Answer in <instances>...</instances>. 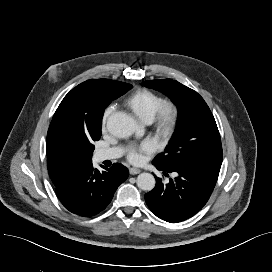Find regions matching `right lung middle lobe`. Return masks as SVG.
Instances as JSON below:
<instances>
[{
  "mask_svg": "<svg viewBox=\"0 0 272 272\" xmlns=\"http://www.w3.org/2000/svg\"><path fill=\"white\" fill-rule=\"evenodd\" d=\"M131 88H132V85L121 82L120 85L117 87V90L114 92L111 100H114V99L120 97L121 95H123L125 92H127ZM100 136H101V132H98L92 139H90L86 143V148H87L90 155H92L93 151H94L93 142L99 140Z\"/></svg>",
  "mask_w": 272,
  "mask_h": 272,
  "instance_id": "1",
  "label": "right lung middle lobe"
}]
</instances>
